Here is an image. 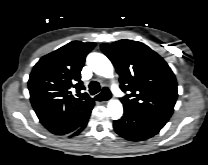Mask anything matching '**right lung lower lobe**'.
Listing matches in <instances>:
<instances>
[{"label": "right lung lower lobe", "mask_w": 208, "mask_h": 165, "mask_svg": "<svg viewBox=\"0 0 208 165\" xmlns=\"http://www.w3.org/2000/svg\"><path fill=\"white\" fill-rule=\"evenodd\" d=\"M89 116H90V114L87 115L86 119L83 121V123L80 125V127H78L75 131L67 134V136L73 137V136L78 135L86 127Z\"/></svg>", "instance_id": "98d812e1"}]
</instances>
